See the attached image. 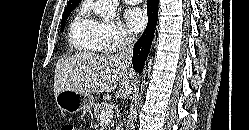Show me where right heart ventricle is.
Instances as JSON below:
<instances>
[{"instance_id":"right-heart-ventricle-1","label":"right heart ventricle","mask_w":249,"mask_h":130,"mask_svg":"<svg viewBox=\"0 0 249 130\" xmlns=\"http://www.w3.org/2000/svg\"><path fill=\"white\" fill-rule=\"evenodd\" d=\"M70 46L77 52L98 53L104 51L99 22L92 19L85 7L73 17L68 33Z\"/></svg>"}]
</instances>
